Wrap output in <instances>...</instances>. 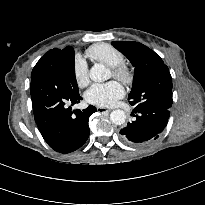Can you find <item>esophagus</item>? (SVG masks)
I'll list each match as a JSON object with an SVG mask.
<instances>
[{
  "label": "esophagus",
  "instance_id": "obj_1",
  "mask_svg": "<svg viewBox=\"0 0 205 205\" xmlns=\"http://www.w3.org/2000/svg\"><path fill=\"white\" fill-rule=\"evenodd\" d=\"M97 111L100 112V113H110L111 112L110 109H106V108H103V107H97Z\"/></svg>",
  "mask_w": 205,
  "mask_h": 205
}]
</instances>
